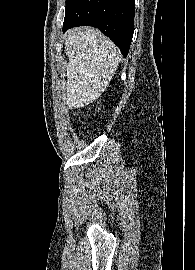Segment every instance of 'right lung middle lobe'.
I'll list each match as a JSON object with an SVG mask.
<instances>
[{"mask_svg":"<svg viewBox=\"0 0 195 270\" xmlns=\"http://www.w3.org/2000/svg\"><path fill=\"white\" fill-rule=\"evenodd\" d=\"M73 0H66V9L71 5Z\"/></svg>","mask_w":195,"mask_h":270,"instance_id":"obj_1","label":"right lung middle lobe"}]
</instances>
